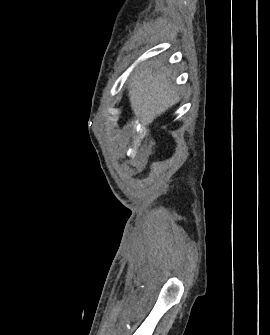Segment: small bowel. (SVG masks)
Returning <instances> with one entry per match:
<instances>
[{"label":"small bowel","instance_id":"c3829d8e","mask_svg":"<svg viewBox=\"0 0 270 335\" xmlns=\"http://www.w3.org/2000/svg\"><path fill=\"white\" fill-rule=\"evenodd\" d=\"M118 163L119 165H142L143 160L142 158H119Z\"/></svg>","mask_w":270,"mask_h":335}]
</instances>
